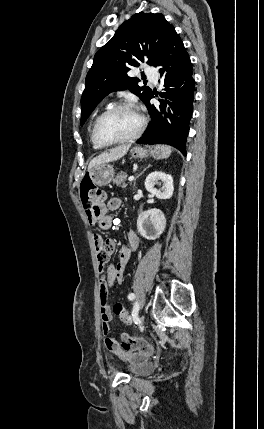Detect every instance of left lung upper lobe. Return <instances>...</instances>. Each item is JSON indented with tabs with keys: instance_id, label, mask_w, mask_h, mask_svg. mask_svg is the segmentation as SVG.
Wrapping results in <instances>:
<instances>
[{
	"instance_id": "obj_1",
	"label": "left lung upper lobe",
	"mask_w": 264,
	"mask_h": 429,
	"mask_svg": "<svg viewBox=\"0 0 264 429\" xmlns=\"http://www.w3.org/2000/svg\"><path fill=\"white\" fill-rule=\"evenodd\" d=\"M174 29L162 14L136 13L125 21L113 38L94 56L86 76V88L81 98L83 125L97 104L110 92L129 89L146 104L152 90L140 87L137 78L127 72L148 58L147 64L156 66L168 33Z\"/></svg>"
}]
</instances>
